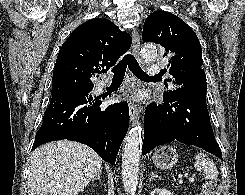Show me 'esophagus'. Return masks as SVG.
<instances>
[{"mask_svg":"<svg viewBox=\"0 0 245 195\" xmlns=\"http://www.w3.org/2000/svg\"><path fill=\"white\" fill-rule=\"evenodd\" d=\"M132 40H133V44H132L133 54L139 57L140 35L137 29H134L132 31ZM129 116H130L131 124L135 125L139 119V108L132 101L129 102Z\"/></svg>","mask_w":245,"mask_h":195,"instance_id":"1","label":"esophagus"}]
</instances>
